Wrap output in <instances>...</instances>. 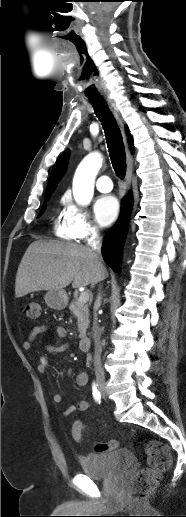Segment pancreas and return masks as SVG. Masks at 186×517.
Wrapping results in <instances>:
<instances>
[{"label":"pancreas","instance_id":"obj_1","mask_svg":"<svg viewBox=\"0 0 186 517\" xmlns=\"http://www.w3.org/2000/svg\"><path fill=\"white\" fill-rule=\"evenodd\" d=\"M69 309L77 317L79 337H85L90 322L88 304L73 300L69 305Z\"/></svg>","mask_w":186,"mask_h":517}]
</instances>
